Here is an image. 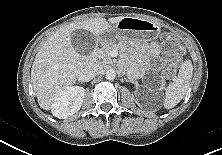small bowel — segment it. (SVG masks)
<instances>
[{
	"label": "small bowel",
	"instance_id": "small-bowel-1",
	"mask_svg": "<svg viewBox=\"0 0 222 155\" xmlns=\"http://www.w3.org/2000/svg\"><path fill=\"white\" fill-rule=\"evenodd\" d=\"M158 54H159V49L158 45L155 43L150 44L148 47V64L151 67H157L158 64Z\"/></svg>",
	"mask_w": 222,
	"mask_h": 155
}]
</instances>
